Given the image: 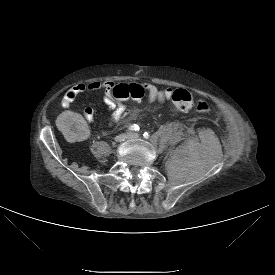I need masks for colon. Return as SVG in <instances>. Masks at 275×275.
<instances>
[{"mask_svg":"<svg viewBox=\"0 0 275 275\" xmlns=\"http://www.w3.org/2000/svg\"><path fill=\"white\" fill-rule=\"evenodd\" d=\"M113 94L119 99H132L138 101L143 98L145 90L138 84L118 85L114 88ZM175 106L183 112L196 110L206 113L211 110L210 103L204 98H196L193 93L186 89H178L172 95Z\"/></svg>","mask_w":275,"mask_h":275,"instance_id":"obj_1","label":"colon"}]
</instances>
